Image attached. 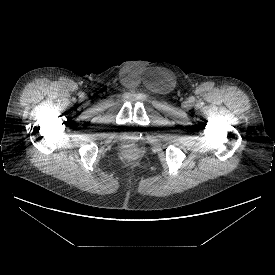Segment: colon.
Masks as SVG:
<instances>
[{
  "label": "colon",
  "instance_id": "1",
  "mask_svg": "<svg viewBox=\"0 0 275 275\" xmlns=\"http://www.w3.org/2000/svg\"><path fill=\"white\" fill-rule=\"evenodd\" d=\"M130 153H134L135 152V150L134 149H130V151H129Z\"/></svg>",
  "mask_w": 275,
  "mask_h": 275
}]
</instances>
